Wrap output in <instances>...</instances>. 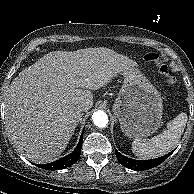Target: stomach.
<instances>
[{"mask_svg": "<svg viewBox=\"0 0 194 194\" xmlns=\"http://www.w3.org/2000/svg\"><path fill=\"white\" fill-rule=\"evenodd\" d=\"M123 85L113 105L122 132L130 138H145L162 123V98L158 90L137 69L122 73Z\"/></svg>", "mask_w": 194, "mask_h": 194, "instance_id": "1", "label": "stomach"}]
</instances>
